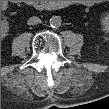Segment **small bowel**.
Instances as JSON below:
<instances>
[{"label":"small bowel","instance_id":"c3829d8e","mask_svg":"<svg viewBox=\"0 0 109 109\" xmlns=\"http://www.w3.org/2000/svg\"><path fill=\"white\" fill-rule=\"evenodd\" d=\"M94 4H95L94 1H87V2H86V5H87V6H92V5H94Z\"/></svg>","mask_w":109,"mask_h":109}]
</instances>
